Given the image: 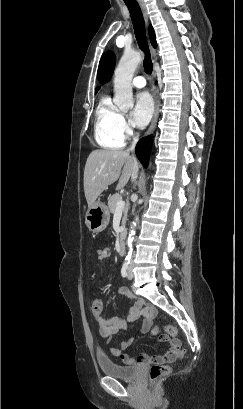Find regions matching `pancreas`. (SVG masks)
Listing matches in <instances>:
<instances>
[{
  "label": "pancreas",
  "instance_id": "obj_1",
  "mask_svg": "<svg viewBox=\"0 0 243 409\" xmlns=\"http://www.w3.org/2000/svg\"><path fill=\"white\" fill-rule=\"evenodd\" d=\"M122 198L121 195L119 193L113 194L112 196H110V198L108 199V207L109 210L112 214L115 213L116 211V203L117 201ZM127 213H128V207H125L123 209V218H122V226L125 227V223L127 220Z\"/></svg>",
  "mask_w": 243,
  "mask_h": 409
}]
</instances>
